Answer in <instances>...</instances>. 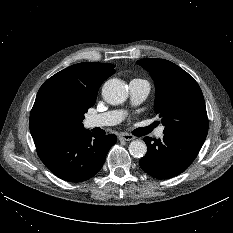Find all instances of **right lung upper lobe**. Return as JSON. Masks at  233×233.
<instances>
[{"instance_id": "obj_1", "label": "right lung upper lobe", "mask_w": 233, "mask_h": 233, "mask_svg": "<svg viewBox=\"0 0 233 233\" xmlns=\"http://www.w3.org/2000/svg\"><path fill=\"white\" fill-rule=\"evenodd\" d=\"M113 68L109 63L83 62L49 78L40 87L30 113L34 141L84 130V114L94 105L101 84L115 73Z\"/></svg>"}]
</instances>
